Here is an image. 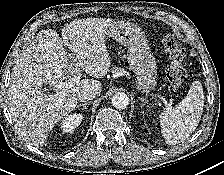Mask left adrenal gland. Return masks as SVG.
<instances>
[{
	"label": "left adrenal gland",
	"mask_w": 224,
	"mask_h": 175,
	"mask_svg": "<svg viewBox=\"0 0 224 175\" xmlns=\"http://www.w3.org/2000/svg\"><path fill=\"white\" fill-rule=\"evenodd\" d=\"M138 99L142 102L143 105L148 104V101H146L143 98L138 97Z\"/></svg>",
	"instance_id": "a2214340"
}]
</instances>
